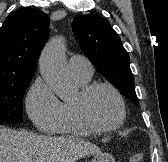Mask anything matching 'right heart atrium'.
<instances>
[{"mask_svg":"<svg viewBox=\"0 0 168 162\" xmlns=\"http://www.w3.org/2000/svg\"><path fill=\"white\" fill-rule=\"evenodd\" d=\"M25 103L28 115L39 131L52 132L61 123L62 103L50 85L41 77L29 88Z\"/></svg>","mask_w":168,"mask_h":162,"instance_id":"d8ad5b80","label":"right heart atrium"}]
</instances>
